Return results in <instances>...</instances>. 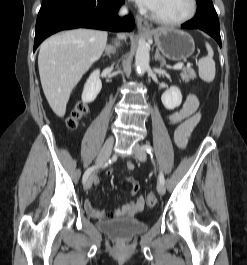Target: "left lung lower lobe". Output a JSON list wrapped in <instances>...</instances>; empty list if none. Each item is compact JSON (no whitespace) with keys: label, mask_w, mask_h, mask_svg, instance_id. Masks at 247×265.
Returning <instances> with one entry per match:
<instances>
[{"label":"left lung lower lobe","mask_w":247,"mask_h":265,"mask_svg":"<svg viewBox=\"0 0 247 265\" xmlns=\"http://www.w3.org/2000/svg\"><path fill=\"white\" fill-rule=\"evenodd\" d=\"M196 15L190 21L182 24V28L201 29L211 35L221 47L220 27L217 13L212 0H196Z\"/></svg>","instance_id":"0a47b994"}]
</instances>
